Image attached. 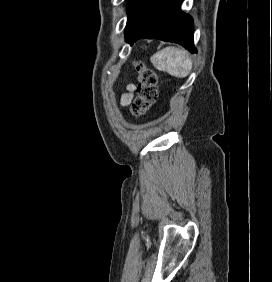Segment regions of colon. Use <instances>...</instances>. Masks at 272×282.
<instances>
[{"label": "colon", "mask_w": 272, "mask_h": 282, "mask_svg": "<svg viewBox=\"0 0 272 282\" xmlns=\"http://www.w3.org/2000/svg\"><path fill=\"white\" fill-rule=\"evenodd\" d=\"M139 72V83L137 86V95L132 103V113L142 115L155 102L157 96V76L151 69L143 64H137Z\"/></svg>", "instance_id": "1"}]
</instances>
